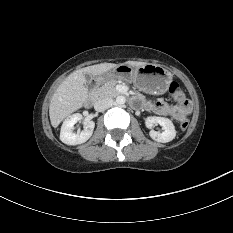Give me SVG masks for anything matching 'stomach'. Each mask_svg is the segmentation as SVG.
I'll return each mask as SVG.
<instances>
[{"instance_id": "stomach-1", "label": "stomach", "mask_w": 233, "mask_h": 233, "mask_svg": "<svg viewBox=\"0 0 233 233\" xmlns=\"http://www.w3.org/2000/svg\"><path fill=\"white\" fill-rule=\"evenodd\" d=\"M172 76L170 71L157 64L146 63L143 66L133 67L124 63L95 76V80L97 84L112 80L133 82L145 92L161 95L168 90Z\"/></svg>"}]
</instances>
